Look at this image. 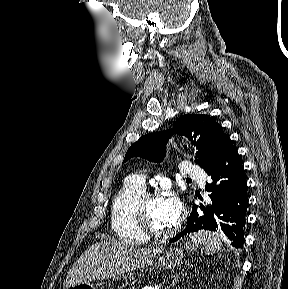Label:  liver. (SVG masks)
Instances as JSON below:
<instances>
[{
	"instance_id": "obj_1",
	"label": "liver",
	"mask_w": 288,
	"mask_h": 289,
	"mask_svg": "<svg viewBox=\"0 0 288 289\" xmlns=\"http://www.w3.org/2000/svg\"><path fill=\"white\" fill-rule=\"evenodd\" d=\"M162 251V247L139 248L115 240L95 243L69 269L63 287L68 289L149 266Z\"/></svg>"
}]
</instances>
